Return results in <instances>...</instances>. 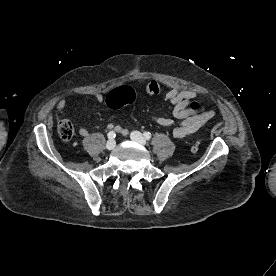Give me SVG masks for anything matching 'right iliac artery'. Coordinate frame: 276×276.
Here are the masks:
<instances>
[{
	"mask_svg": "<svg viewBox=\"0 0 276 276\" xmlns=\"http://www.w3.org/2000/svg\"><path fill=\"white\" fill-rule=\"evenodd\" d=\"M107 136L109 139H113V138H115L116 134L114 131H110Z\"/></svg>",
	"mask_w": 276,
	"mask_h": 276,
	"instance_id": "1",
	"label": "right iliac artery"
}]
</instances>
